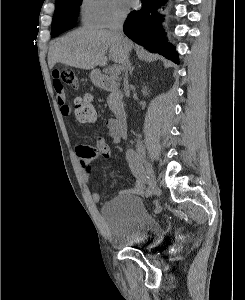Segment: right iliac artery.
<instances>
[{
    "instance_id": "82829eb1",
    "label": "right iliac artery",
    "mask_w": 245,
    "mask_h": 300,
    "mask_svg": "<svg viewBox=\"0 0 245 300\" xmlns=\"http://www.w3.org/2000/svg\"><path fill=\"white\" fill-rule=\"evenodd\" d=\"M126 158L129 163V167L133 173V175L140 180L143 184L151 185V181L148 179L144 168L142 167L139 158L136 152L133 149H128L126 151ZM156 190L154 186H148V190L146 192L147 197H152V194H155Z\"/></svg>"
}]
</instances>
